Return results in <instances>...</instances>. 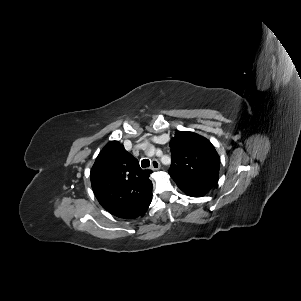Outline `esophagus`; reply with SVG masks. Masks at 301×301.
<instances>
[{"mask_svg": "<svg viewBox=\"0 0 301 301\" xmlns=\"http://www.w3.org/2000/svg\"><path fill=\"white\" fill-rule=\"evenodd\" d=\"M151 169L152 170H159L160 169V163L157 159H153L151 161Z\"/></svg>", "mask_w": 301, "mask_h": 301, "instance_id": "obj_1", "label": "esophagus"}]
</instances>
